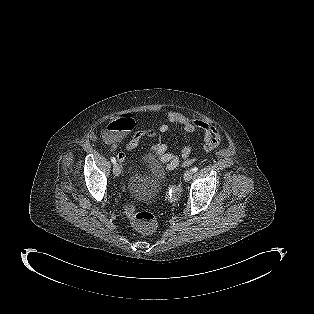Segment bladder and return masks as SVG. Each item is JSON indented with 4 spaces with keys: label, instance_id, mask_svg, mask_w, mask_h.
Instances as JSON below:
<instances>
[{
    "label": "bladder",
    "instance_id": "1",
    "mask_svg": "<svg viewBox=\"0 0 314 314\" xmlns=\"http://www.w3.org/2000/svg\"><path fill=\"white\" fill-rule=\"evenodd\" d=\"M167 173L159 159L147 154L142 158L140 171L129 178V187L135 199L145 202L153 199Z\"/></svg>",
    "mask_w": 314,
    "mask_h": 314
}]
</instances>
